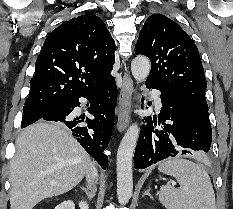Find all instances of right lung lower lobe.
I'll use <instances>...</instances> for the list:
<instances>
[{
  "mask_svg": "<svg viewBox=\"0 0 233 209\" xmlns=\"http://www.w3.org/2000/svg\"><path fill=\"white\" fill-rule=\"evenodd\" d=\"M117 96L115 78L112 76L98 87L66 100L60 107L46 114L39 121H54L66 125L89 155L103 169H106L108 157L103 150L111 139ZM81 97L90 100L88 111L95 117L94 119L73 116L72 111L76 106H80L79 98Z\"/></svg>",
  "mask_w": 233,
  "mask_h": 209,
  "instance_id": "right-lung-lower-lobe-1",
  "label": "right lung lower lobe"
}]
</instances>
